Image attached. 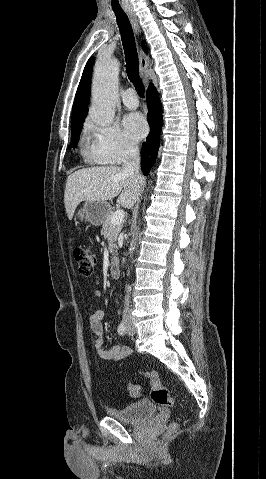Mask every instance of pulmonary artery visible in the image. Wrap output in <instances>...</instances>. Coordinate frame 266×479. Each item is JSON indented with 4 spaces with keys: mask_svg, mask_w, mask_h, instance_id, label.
Listing matches in <instances>:
<instances>
[{
    "mask_svg": "<svg viewBox=\"0 0 266 479\" xmlns=\"http://www.w3.org/2000/svg\"><path fill=\"white\" fill-rule=\"evenodd\" d=\"M124 105L129 109H135L139 105V100L136 91L133 88H128L122 97Z\"/></svg>",
    "mask_w": 266,
    "mask_h": 479,
    "instance_id": "e3ab8cb5",
    "label": "pulmonary artery"
}]
</instances>
